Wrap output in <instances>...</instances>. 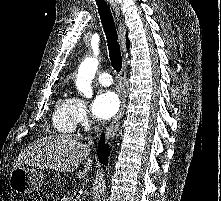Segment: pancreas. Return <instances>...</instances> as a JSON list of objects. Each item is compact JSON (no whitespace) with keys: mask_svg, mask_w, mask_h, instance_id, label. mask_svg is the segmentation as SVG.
Returning <instances> with one entry per match:
<instances>
[{"mask_svg":"<svg viewBox=\"0 0 221 201\" xmlns=\"http://www.w3.org/2000/svg\"><path fill=\"white\" fill-rule=\"evenodd\" d=\"M62 201H69L68 197L67 196H64Z\"/></svg>","mask_w":221,"mask_h":201,"instance_id":"1","label":"pancreas"}]
</instances>
